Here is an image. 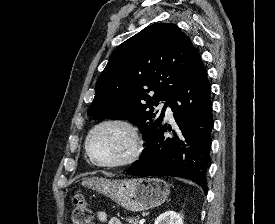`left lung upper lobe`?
<instances>
[{"instance_id":"left-lung-upper-lobe-1","label":"left lung upper lobe","mask_w":275,"mask_h":224,"mask_svg":"<svg viewBox=\"0 0 275 224\" xmlns=\"http://www.w3.org/2000/svg\"><path fill=\"white\" fill-rule=\"evenodd\" d=\"M203 67L197 49L176 25L153 24L112 53L96 83L87 115L129 120L146 140L162 123L171 96ZM154 91L150 96L149 92ZM166 101L160 115L153 106Z\"/></svg>"}]
</instances>
